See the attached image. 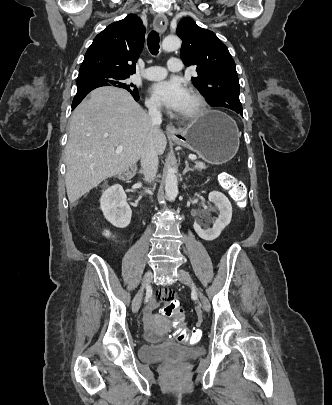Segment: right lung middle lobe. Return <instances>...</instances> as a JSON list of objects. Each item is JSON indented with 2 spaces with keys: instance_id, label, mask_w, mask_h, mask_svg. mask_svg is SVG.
Wrapping results in <instances>:
<instances>
[{
  "instance_id": "obj_1",
  "label": "right lung middle lobe",
  "mask_w": 332,
  "mask_h": 405,
  "mask_svg": "<svg viewBox=\"0 0 332 405\" xmlns=\"http://www.w3.org/2000/svg\"><path fill=\"white\" fill-rule=\"evenodd\" d=\"M130 75L110 73V72H92L79 74L77 78V92L87 90L93 87L116 86L128 90L132 94H138V89L127 79Z\"/></svg>"
}]
</instances>
